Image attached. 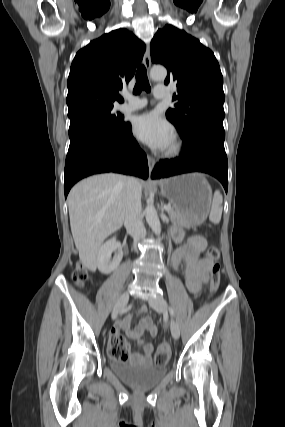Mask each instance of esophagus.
<instances>
[{
	"label": "esophagus",
	"instance_id": "34e87169",
	"mask_svg": "<svg viewBox=\"0 0 285 427\" xmlns=\"http://www.w3.org/2000/svg\"><path fill=\"white\" fill-rule=\"evenodd\" d=\"M144 65H145V67L148 70L151 67V56H150L149 46H147L146 52H145V55H144ZM147 159H148L149 171L152 172V170H153V168L155 166V159L152 156H150V155L147 156Z\"/></svg>",
	"mask_w": 285,
	"mask_h": 427
}]
</instances>
